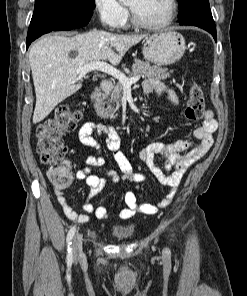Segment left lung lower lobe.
Returning a JSON list of instances; mask_svg holds the SVG:
<instances>
[{"label":"left lung lower lobe","mask_w":247,"mask_h":296,"mask_svg":"<svg viewBox=\"0 0 247 296\" xmlns=\"http://www.w3.org/2000/svg\"><path fill=\"white\" fill-rule=\"evenodd\" d=\"M180 25L200 27L211 33L215 41H217L216 26L211 14L210 6H199L193 12L181 18Z\"/></svg>","instance_id":"obj_1"}]
</instances>
